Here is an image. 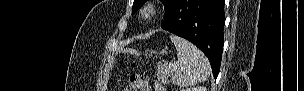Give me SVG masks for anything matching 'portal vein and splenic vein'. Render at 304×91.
Returning a JSON list of instances; mask_svg holds the SVG:
<instances>
[{"label": "portal vein and splenic vein", "instance_id": "obj_1", "mask_svg": "<svg viewBox=\"0 0 304 91\" xmlns=\"http://www.w3.org/2000/svg\"><path fill=\"white\" fill-rule=\"evenodd\" d=\"M168 67L173 70V69L177 68V64L176 63H169Z\"/></svg>", "mask_w": 304, "mask_h": 91}]
</instances>
